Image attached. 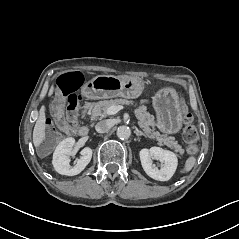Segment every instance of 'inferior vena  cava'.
Segmentation results:
<instances>
[{
  "instance_id": "inferior-vena-cava-1",
  "label": "inferior vena cava",
  "mask_w": 239,
  "mask_h": 239,
  "mask_svg": "<svg viewBox=\"0 0 239 239\" xmlns=\"http://www.w3.org/2000/svg\"><path fill=\"white\" fill-rule=\"evenodd\" d=\"M110 128L111 125L108 120L99 121L95 126V129L98 133H106L110 130Z\"/></svg>"
}]
</instances>
